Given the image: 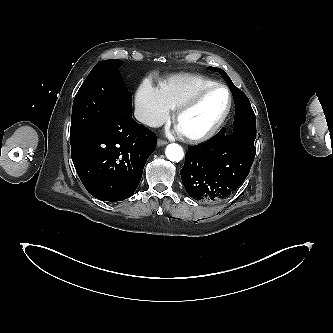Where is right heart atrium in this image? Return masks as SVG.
Returning a JSON list of instances; mask_svg holds the SVG:
<instances>
[{"label": "right heart atrium", "mask_w": 333, "mask_h": 333, "mask_svg": "<svg viewBox=\"0 0 333 333\" xmlns=\"http://www.w3.org/2000/svg\"><path fill=\"white\" fill-rule=\"evenodd\" d=\"M138 119L149 127L163 124L170 116V108L165 103L158 88L150 82H144L135 98Z\"/></svg>", "instance_id": "d8ad5b80"}]
</instances>
